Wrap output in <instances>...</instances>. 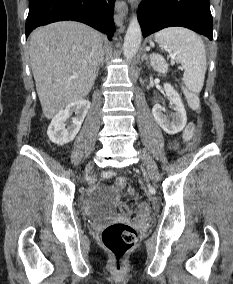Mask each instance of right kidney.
Wrapping results in <instances>:
<instances>
[{"label": "right kidney", "mask_w": 233, "mask_h": 284, "mask_svg": "<svg viewBox=\"0 0 233 284\" xmlns=\"http://www.w3.org/2000/svg\"><path fill=\"white\" fill-rule=\"evenodd\" d=\"M90 108V101L80 99L70 103L65 110L60 111L51 121L47 135L49 139L57 144L64 145L71 142L79 132L84 118ZM75 113L71 124H67V120Z\"/></svg>", "instance_id": "1"}]
</instances>
